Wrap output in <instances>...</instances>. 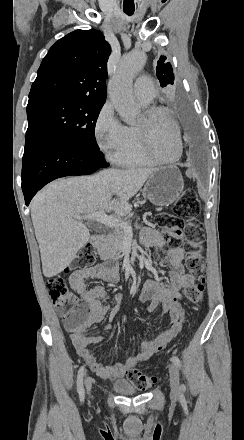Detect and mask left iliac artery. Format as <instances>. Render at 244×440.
<instances>
[{
	"label": "left iliac artery",
	"instance_id": "obj_1",
	"mask_svg": "<svg viewBox=\"0 0 244 440\" xmlns=\"http://www.w3.org/2000/svg\"><path fill=\"white\" fill-rule=\"evenodd\" d=\"M171 361L178 367V368H181V361H180V359H179V357L178 356H172V358H171ZM181 389L182 390H184L185 389V385L184 384H182L181 385Z\"/></svg>",
	"mask_w": 244,
	"mask_h": 440
}]
</instances>
